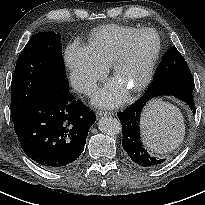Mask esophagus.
Returning <instances> with one entry per match:
<instances>
[{
    "instance_id": "esophagus-1",
    "label": "esophagus",
    "mask_w": 205,
    "mask_h": 205,
    "mask_svg": "<svg viewBox=\"0 0 205 205\" xmlns=\"http://www.w3.org/2000/svg\"><path fill=\"white\" fill-rule=\"evenodd\" d=\"M112 115H114L113 112L96 111V116L97 117L112 116Z\"/></svg>"
}]
</instances>
